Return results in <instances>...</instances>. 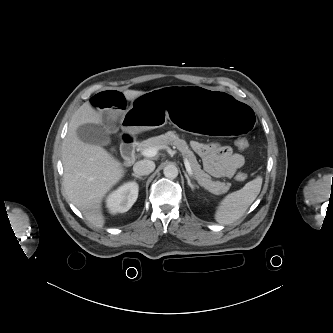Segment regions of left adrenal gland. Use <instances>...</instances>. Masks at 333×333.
Listing matches in <instances>:
<instances>
[{"label": "left adrenal gland", "instance_id": "a2214340", "mask_svg": "<svg viewBox=\"0 0 333 333\" xmlns=\"http://www.w3.org/2000/svg\"><path fill=\"white\" fill-rule=\"evenodd\" d=\"M185 177H186V179H187V183H188L189 187H190L192 190H194L195 188H198V185H196V184H192V183H191V180H190L189 176H188L186 173H185Z\"/></svg>", "mask_w": 333, "mask_h": 333}]
</instances>
